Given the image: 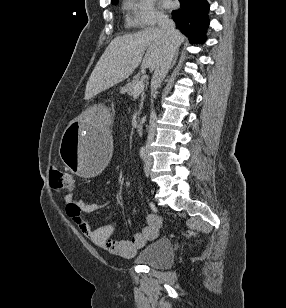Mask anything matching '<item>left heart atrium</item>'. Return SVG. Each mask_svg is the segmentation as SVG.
Segmentation results:
<instances>
[{
  "instance_id": "obj_1",
  "label": "left heart atrium",
  "mask_w": 286,
  "mask_h": 308,
  "mask_svg": "<svg viewBox=\"0 0 286 308\" xmlns=\"http://www.w3.org/2000/svg\"><path fill=\"white\" fill-rule=\"evenodd\" d=\"M160 3L163 7H170L171 6V0H160Z\"/></svg>"
}]
</instances>
